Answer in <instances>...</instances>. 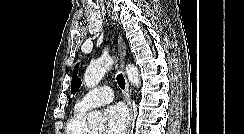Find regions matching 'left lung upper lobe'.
I'll list each match as a JSON object with an SVG mask.
<instances>
[{
  "instance_id": "obj_1",
  "label": "left lung upper lobe",
  "mask_w": 244,
  "mask_h": 134,
  "mask_svg": "<svg viewBox=\"0 0 244 134\" xmlns=\"http://www.w3.org/2000/svg\"><path fill=\"white\" fill-rule=\"evenodd\" d=\"M78 70V64L74 68V75L77 74ZM81 86V80L77 76L72 77V82H71V94H75V92L79 89ZM72 99L69 100V104L71 103Z\"/></svg>"
}]
</instances>
